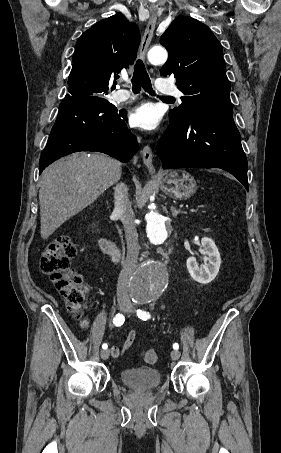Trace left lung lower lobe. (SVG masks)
Segmentation results:
<instances>
[{
	"instance_id": "obj_1",
	"label": "left lung lower lobe",
	"mask_w": 281,
	"mask_h": 453,
	"mask_svg": "<svg viewBox=\"0 0 281 453\" xmlns=\"http://www.w3.org/2000/svg\"><path fill=\"white\" fill-rule=\"evenodd\" d=\"M232 109H211L171 122L158 143L164 168H221L248 190L247 159Z\"/></svg>"
}]
</instances>
